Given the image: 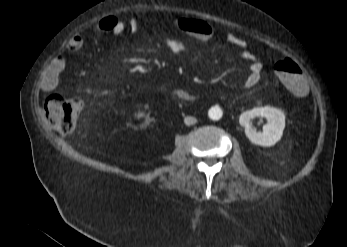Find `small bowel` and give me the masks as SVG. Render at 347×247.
I'll list each match as a JSON object with an SVG mask.
<instances>
[{"label": "small bowel", "instance_id": "obj_1", "mask_svg": "<svg viewBox=\"0 0 347 247\" xmlns=\"http://www.w3.org/2000/svg\"><path fill=\"white\" fill-rule=\"evenodd\" d=\"M139 22L136 19L127 21L119 20L114 16L103 18L98 24L97 29L103 33H109L112 36H118L124 31L129 30L131 33L139 29ZM174 25L191 36L203 45H209L214 39V30L206 21L195 18H182L174 21ZM227 42L237 49L240 57L249 63L251 69L245 84L247 87L256 85L260 79L261 62L259 58L249 49L247 41L239 34L227 31ZM84 45V39L81 35H73L66 44V49L70 52L79 51ZM168 48L175 54L181 53L186 48V42L182 39H171L167 44ZM66 63L63 58H54L46 67L44 74L40 79V87L45 92L54 91L60 82L61 75L65 69ZM174 94L181 100L189 102L193 99V94L186 88L175 87Z\"/></svg>", "mask_w": 347, "mask_h": 247}]
</instances>
